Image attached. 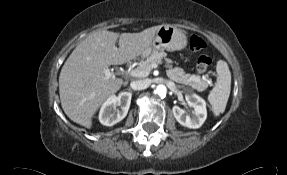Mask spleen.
<instances>
[{
	"label": "spleen",
	"mask_w": 287,
	"mask_h": 175,
	"mask_svg": "<svg viewBox=\"0 0 287 175\" xmlns=\"http://www.w3.org/2000/svg\"><path fill=\"white\" fill-rule=\"evenodd\" d=\"M217 80L215 86L208 95V101L212 106L215 116L223 113L228 102L231 91V73L228 64L219 60L216 66Z\"/></svg>",
	"instance_id": "3e777b00"
}]
</instances>
